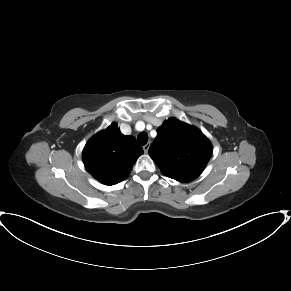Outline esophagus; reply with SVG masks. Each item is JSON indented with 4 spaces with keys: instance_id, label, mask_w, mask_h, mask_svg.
Masks as SVG:
<instances>
[{
    "instance_id": "1",
    "label": "esophagus",
    "mask_w": 291,
    "mask_h": 291,
    "mask_svg": "<svg viewBox=\"0 0 291 291\" xmlns=\"http://www.w3.org/2000/svg\"><path fill=\"white\" fill-rule=\"evenodd\" d=\"M149 147H150V143H147L146 145L143 146V150L145 153H148Z\"/></svg>"
}]
</instances>
